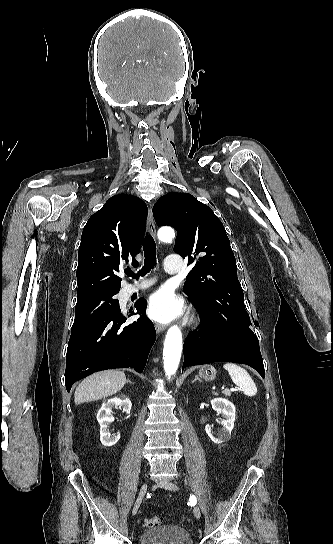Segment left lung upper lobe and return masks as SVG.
I'll list each match as a JSON object with an SVG mask.
<instances>
[{"label": "left lung upper lobe", "mask_w": 333, "mask_h": 544, "mask_svg": "<svg viewBox=\"0 0 333 544\" xmlns=\"http://www.w3.org/2000/svg\"><path fill=\"white\" fill-rule=\"evenodd\" d=\"M153 215L158 225L177 230L174 251L194 264L184 284L191 301L210 317L251 325L236 260L214 212L190 194L168 193L154 205Z\"/></svg>", "instance_id": "obj_1"}]
</instances>
